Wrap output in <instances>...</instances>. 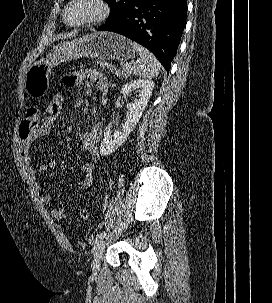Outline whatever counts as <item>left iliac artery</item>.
<instances>
[{
  "mask_svg": "<svg viewBox=\"0 0 272 303\" xmlns=\"http://www.w3.org/2000/svg\"><path fill=\"white\" fill-rule=\"evenodd\" d=\"M105 235H106V232H105V231L100 232L99 234H97V236H96V238H95V243H96L99 239L105 237Z\"/></svg>",
  "mask_w": 272,
  "mask_h": 303,
  "instance_id": "44dca946",
  "label": "left iliac artery"
}]
</instances>
